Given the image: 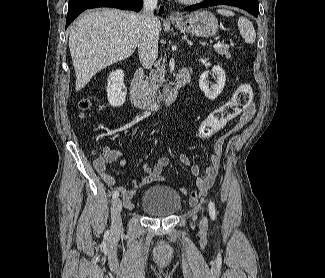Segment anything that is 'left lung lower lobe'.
Returning <instances> with one entry per match:
<instances>
[{"label":"left lung lower lobe","instance_id":"0a47b994","mask_svg":"<svg viewBox=\"0 0 325 278\" xmlns=\"http://www.w3.org/2000/svg\"><path fill=\"white\" fill-rule=\"evenodd\" d=\"M215 5H231L242 8L248 11L253 16L257 17L259 14L258 0H207L202 3L185 8V11L205 8Z\"/></svg>","mask_w":325,"mask_h":278}]
</instances>
